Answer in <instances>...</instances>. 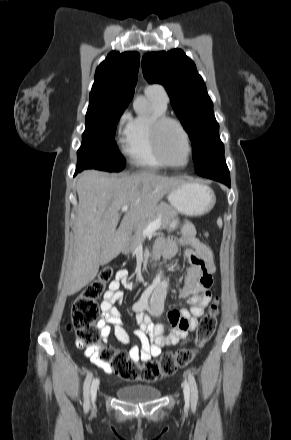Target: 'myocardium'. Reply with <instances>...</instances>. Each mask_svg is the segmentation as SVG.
<instances>
[{"mask_svg": "<svg viewBox=\"0 0 291 440\" xmlns=\"http://www.w3.org/2000/svg\"><path fill=\"white\" fill-rule=\"evenodd\" d=\"M167 124L175 125L182 132V134L185 138L186 147H187V155H186L185 162L182 164H175V163L168 161L163 154L162 147H161V134H162L164 127ZM149 127H150V135H151L153 148H154V151H155L157 158L165 166H168V167H174V168L186 167L189 164L191 156H192V144H191L190 135H189L188 131L186 130V128L184 127V125L179 120H177L175 118L168 117V116H157V117L151 118L150 123H149Z\"/></svg>", "mask_w": 291, "mask_h": 440, "instance_id": "obj_1", "label": "myocardium"}]
</instances>
